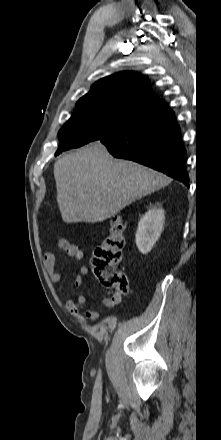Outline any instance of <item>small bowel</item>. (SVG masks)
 <instances>
[{
  "label": "small bowel",
  "mask_w": 221,
  "mask_h": 440,
  "mask_svg": "<svg viewBox=\"0 0 221 440\" xmlns=\"http://www.w3.org/2000/svg\"><path fill=\"white\" fill-rule=\"evenodd\" d=\"M57 248L62 250L68 257L74 259L77 262H80L84 258L83 251L71 243L68 240L61 239L56 242ZM43 262L46 270L51 276V279L54 282H58L61 279V275L56 271V256L51 251H45L43 254ZM89 273V270L86 266L80 267V274L74 280V286L80 287L84 282V276ZM122 299L121 295H118L114 292H110L107 296L101 299L100 304L106 308L115 307ZM86 296L85 294H79L76 298V301L68 300L65 303V308L74 316L79 317L82 320H98L100 318V313L91 310L85 309L86 305ZM81 311H84V315H81Z\"/></svg>",
  "instance_id": "small-bowel-1"
}]
</instances>
